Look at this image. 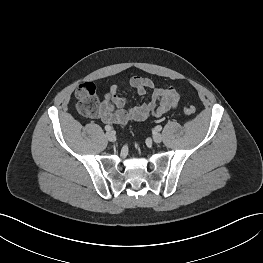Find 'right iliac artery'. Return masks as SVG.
<instances>
[{
	"label": "right iliac artery",
	"mask_w": 263,
	"mask_h": 263,
	"mask_svg": "<svg viewBox=\"0 0 263 263\" xmlns=\"http://www.w3.org/2000/svg\"><path fill=\"white\" fill-rule=\"evenodd\" d=\"M105 130H106V131H111V130H112V127H111L110 125H106V126H105Z\"/></svg>",
	"instance_id": "1"
}]
</instances>
